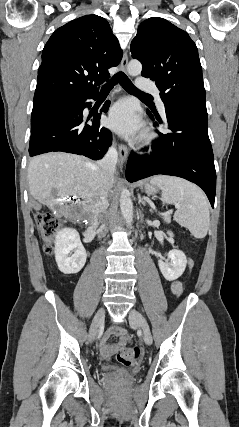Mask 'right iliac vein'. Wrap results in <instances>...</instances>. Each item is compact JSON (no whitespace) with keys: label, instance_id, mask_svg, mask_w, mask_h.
<instances>
[{"label":"right iliac vein","instance_id":"right-iliac-vein-1","mask_svg":"<svg viewBox=\"0 0 239 427\" xmlns=\"http://www.w3.org/2000/svg\"><path fill=\"white\" fill-rule=\"evenodd\" d=\"M104 319H105V309L104 308H100L92 323H91V327H90V331H89V340L93 341L95 339V337L97 336L100 327L103 325L104 323Z\"/></svg>","mask_w":239,"mask_h":427}]
</instances>
